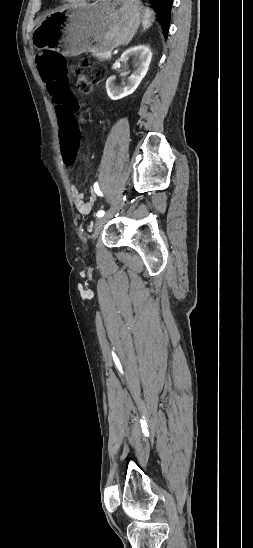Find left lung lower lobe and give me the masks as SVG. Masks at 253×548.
<instances>
[{"instance_id":"left-lung-lower-lobe-1","label":"left lung lower lobe","mask_w":253,"mask_h":548,"mask_svg":"<svg viewBox=\"0 0 253 548\" xmlns=\"http://www.w3.org/2000/svg\"><path fill=\"white\" fill-rule=\"evenodd\" d=\"M156 5V10L159 15V23L162 26L163 33L167 36L170 26L171 8L173 0H149Z\"/></svg>"}]
</instances>
